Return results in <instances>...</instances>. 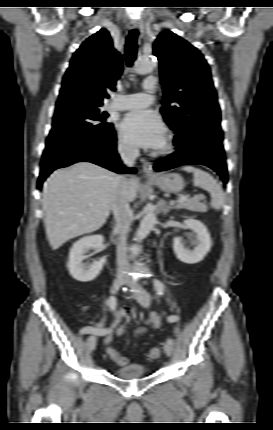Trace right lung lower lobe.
I'll return each mask as SVG.
<instances>
[{
  "mask_svg": "<svg viewBox=\"0 0 273 430\" xmlns=\"http://www.w3.org/2000/svg\"><path fill=\"white\" fill-rule=\"evenodd\" d=\"M80 161L92 162L117 173H135L122 164L113 134L108 140H92L43 153L38 189L53 170Z\"/></svg>",
  "mask_w": 273,
  "mask_h": 430,
  "instance_id": "obj_1",
  "label": "right lung lower lobe"
}]
</instances>
